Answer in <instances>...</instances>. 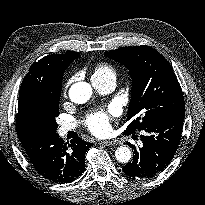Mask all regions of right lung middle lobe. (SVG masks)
I'll return each instance as SVG.
<instances>
[{
	"instance_id": "1",
	"label": "right lung middle lobe",
	"mask_w": 205,
	"mask_h": 205,
	"mask_svg": "<svg viewBox=\"0 0 205 205\" xmlns=\"http://www.w3.org/2000/svg\"><path fill=\"white\" fill-rule=\"evenodd\" d=\"M62 78L52 89L33 88L19 102L21 120L37 133L55 134L58 124Z\"/></svg>"
}]
</instances>
